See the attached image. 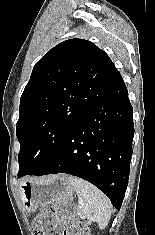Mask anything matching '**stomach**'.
<instances>
[{"label":"stomach","instance_id":"0dacf381","mask_svg":"<svg viewBox=\"0 0 155 235\" xmlns=\"http://www.w3.org/2000/svg\"><path fill=\"white\" fill-rule=\"evenodd\" d=\"M73 193L74 188L65 175L31 180L20 185V199L28 212H34L40 205L68 199Z\"/></svg>","mask_w":155,"mask_h":235}]
</instances>
